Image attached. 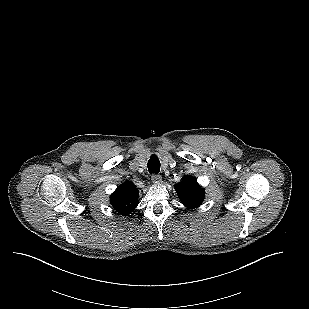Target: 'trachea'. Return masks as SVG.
<instances>
[{
	"label": "trachea",
	"instance_id": "trachea-1",
	"mask_svg": "<svg viewBox=\"0 0 309 309\" xmlns=\"http://www.w3.org/2000/svg\"><path fill=\"white\" fill-rule=\"evenodd\" d=\"M148 171L149 173L158 174L160 171V161L156 155H152L148 160Z\"/></svg>",
	"mask_w": 309,
	"mask_h": 309
}]
</instances>
